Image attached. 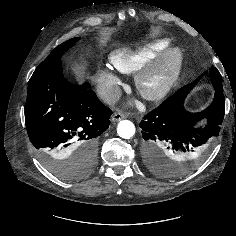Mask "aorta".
I'll return each mask as SVG.
<instances>
[{"label":"aorta","mask_w":236,"mask_h":236,"mask_svg":"<svg viewBox=\"0 0 236 236\" xmlns=\"http://www.w3.org/2000/svg\"><path fill=\"white\" fill-rule=\"evenodd\" d=\"M117 134L123 139H130L135 134V125L129 120H122L118 123Z\"/></svg>","instance_id":"762f6f07"}]
</instances>
